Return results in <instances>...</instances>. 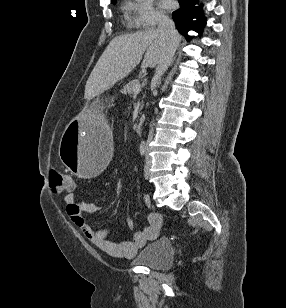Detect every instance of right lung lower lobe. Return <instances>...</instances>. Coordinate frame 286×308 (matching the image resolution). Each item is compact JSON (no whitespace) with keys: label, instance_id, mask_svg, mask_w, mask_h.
Segmentation results:
<instances>
[{"label":"right lung lower lobe","instance_id":"1","mask_svg":"<svg viewBox=\"0 0 286 308\" xmlns=\"http://www.w3.org/2000/svg\"><path fill=\"white\" fill-rule=\"evenodd\" d=\"M181 8L176 10L172 14V18L175 22L176 28L181 34H183L188 40L187 32L194 30L201 34L206 20L201 12V7H195V0H178ZM196 18V21L193 19Z\"/></svg>","mask_w":286,"mask_h":308}]
</instances>
